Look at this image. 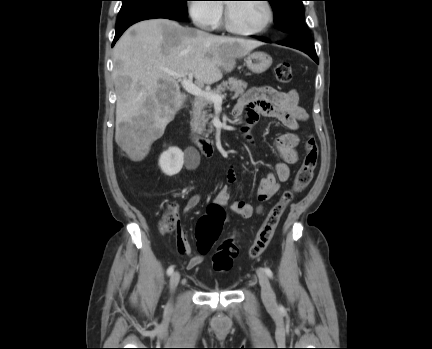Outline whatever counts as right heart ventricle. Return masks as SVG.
<instances>
[{
	"label": "right heart ventricle",
	"mask_w": 432,
	"mask_h": 349,
	"mask_svg": "<svg viewBox=\"0 0 432 349\" xmlns=\"http://www.w3.org/2000/svg\"><path fill=\"white\" fill-rule=\"evenodd\" d=\"M221 23V21H220V19H219V21H218V24L217 25H219Z\"/></svg>",
	"instance_id": "right-heart-ventricle-1"
}]
</instances>
